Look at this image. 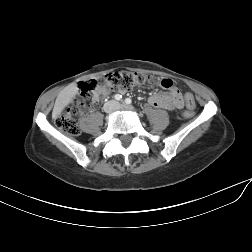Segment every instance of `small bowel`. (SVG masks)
<instances>
[{"label": "small bowel", "instance_id": "1", "mask_svg": "<svg viewBox=\"0 0 252 252\" xmlns=\"http://www.w3.org/2000/svg\"><path fill=\"white\" fill-rule=\"evenodd\" d=\"M165 81H168L172 84L170 88H165L163 83ZM159 85L168 90L167 93H155L152 94L148 98V103L154 107V108H160V109H166V110H175V109H181L184 106V101L182 98V95L178 88L175 86L174 82L171 79L164 78L159 81ZM110 92H103L101 95L106 96ZM190 97L193 98V96L189 93ZM100 96L97 98V102L100 101Z\"/></svg>", "mask_w": 252, "mask_h": 252}]
</instances>
